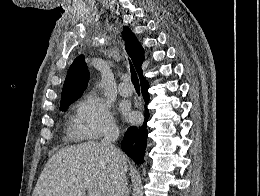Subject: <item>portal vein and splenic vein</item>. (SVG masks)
Masks as SVG:
<instances>
[{"instance_id":"obj_1","label":"portal vein and splenic vein","mask_w":260,"mask_h":196,"mask_svg":"<svg viewBox=\"0 0 260 196\" xmlns=\"http://www.w3.org/2000/svg\"><path fill=\"white\" fill-rule=\"evenodd\" d=\"M87 194L88 196H100V192H96V190H92V188H89Z\"/></svg>"}]
</instances>
